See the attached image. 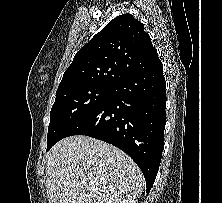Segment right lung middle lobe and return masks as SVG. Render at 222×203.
Segmentation results:
<instances>
[{
    "label": "right lung middle lobe",
    "mask_w": 222,
    "mask_h": 203,
    "mask_svg": "<svg viewBox=\"0 0 222 203\" xmlns=\"http://www.w3.org/2000/svg\"><path fill=\"white\" fill-rule=\"evenodd\" d=\"M111 87L73 86L58 90L50 112L47 149L72 123L99 106L110 94Z\"/></svg>",
    "instance_id": "obj_1"
}]
</instances>
